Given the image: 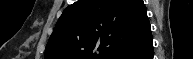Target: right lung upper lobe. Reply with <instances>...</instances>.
<instances>
[{"label": "right lung upper lobe", "mask_w": 193, "mask_h": 59, "mask_svg": "<svg viewBox=\"0 0 193 59\" xmlns=\"http://www.w3.org/2000/svg\"><path fill=\"white\" fill-rule=\"evenodd\" d=\"M149 33L143 0H78L59 18L45 59H113Z\"/></svg>", "instance_id": "obj_1"}]
</instances>
